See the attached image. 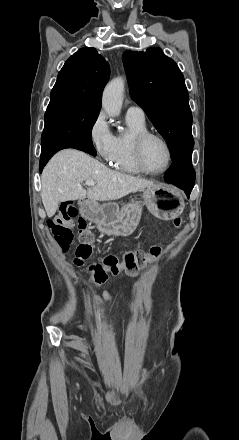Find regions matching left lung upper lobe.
I'll list each match as a JSON object with an SVG mask.
<instances>
[{
	"label": "left lung upper lobe",
	"instance_id": "5c2ea615",
	"mask_svg": "<svg viewBox=\"0 0 239 440\" xmlns=\"http://www.w3.org/2000/svg\"><path fill=\"white\" fill-rule=\"evenodd\" d=\"M123 63L131 97L140 105L172 151V158L191 151L192 114L184 77L160 48L126 51Z\"/></svg>",
	"mask_w": 239,
	"mask_h": 440
}]
</instances>
